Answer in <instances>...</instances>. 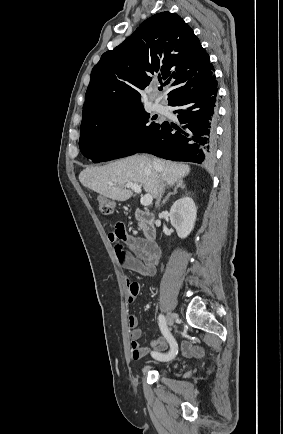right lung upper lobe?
Listing matches in <instances>:
<instances>
[{"instance_id":"cb5924a9","label":"right lung upper lobe","mask_w":283,"mask_h":434,"mask_svg":"<svg viewBox=\"0 0 283 434\" xmlns=\"http://www.w3.org/2000/svg\"><path fill=\"white\" fill-rule=\"evenodd\" d=\"M213 70L208 53L179 15L155 14L93 67L80 129L143 107L140 92L153 75L170 83L171 103L212 83Z\"/></svg>"}]
</instances>
